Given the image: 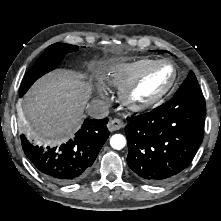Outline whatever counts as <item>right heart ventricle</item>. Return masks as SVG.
I'll return each mask as SVG.
<instances>
[{
    "instance_id": "e07e8e85",
    "label": "right heart ventricle",
    "mask_w": 221,
    "mask_h": 221,
    "mask_svg": "<svg viewBox=\"0 0 221 221\" xmlns=\"http://www.w3.org/2000/svg\"><path fill=\"white\" fill-rule=\"evenodd\" d=\"M152 59H138L132 62H118L107 66L102 72L103 81L114 88H122L146 68Z\"/></svg>"
}]
</instances>
